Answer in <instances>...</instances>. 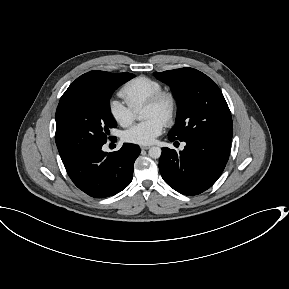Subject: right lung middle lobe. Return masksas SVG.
I'll return each instance as SVG.
<instances>
[{"mask_svg":"<svg viewBox=\"0 0 289 289\" xmlns=\"http://www.w3.org/2000/svg\"><path fill=\"white\" fill-rule=\"evenodd\" d=\"M133 77L127 72L112 73L84 93L61 97L56 144L64 164L107 142L109 129L117 126L109 108L111 93Z\"/></svg>","mask_w":289,"mask_h":289,"instance_id":"right-lung-middle-lobe-1","label":"right lung middle lobe"}]
</instances>
